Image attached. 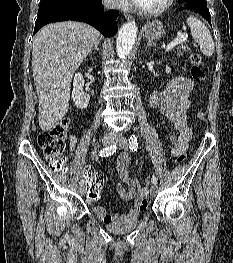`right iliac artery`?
<instances>
[{"label": "right iliac artery", "instance_id": "1", "mask_svg": "<svg viewBox=\"0 0 233 263\" xmlns=\"http://www.w3.org/2000/svg\"><path fill=\"white\" fill-rule=\"evenodd\" d=\"M117 150V146L116 145H111V146H108L106 148H103L100 152H99V156L100 157H106V156H110L112 154H114ZM79 185L80 186H83L84 185V180H80L79 182Z\"/></svg>", "mask_w": 233, "mask_h": 263}]
</instances>
